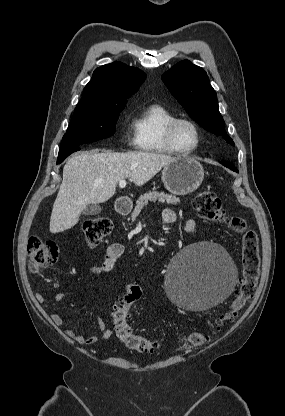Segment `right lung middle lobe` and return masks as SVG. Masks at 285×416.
<instances>
[{
  "mask_svg": "<svg viewBox=\"0 0 285 416\" xmlns=\"http://www.w3.org/2000/svg\"><path fill=\"white\" fill-rule=\"evenodd\" d=\"M126 103L108 106H81L74 111L60 148L78 146L112 136L119 113Z\"/></svg>",
  "mask_w": 285,
  "mask_h": 416,
  "instance_id": "obj_1",
  "label": "right lung middle lobe"
}]
</instances>
